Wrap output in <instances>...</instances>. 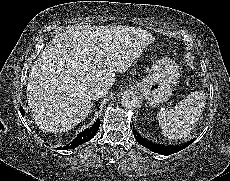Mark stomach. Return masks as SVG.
<instances>
[{
  "mask_svg": "<svg viewBox=\"0 0 230 181\" xmlns=\"http://www.w3.org/2000/svg\"><path fill=\"white\" fill-rule=\"evenodd\" d=\"M177 77V65L172 59L164 57L153 66L146 78L137 83L136 87L149 105L156 106L170 98Z\"/></svg>",
  "mask_w": 230,
  "mask_h": 181,
  "instance_id": "obj_1",
  "label": "stomach"
}]
</instances>
